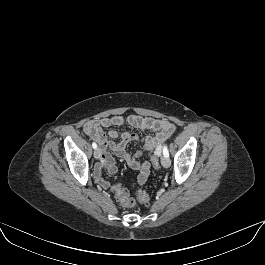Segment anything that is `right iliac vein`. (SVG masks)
Returning <instances> with one entry per match:
<instances>
[{
    "label": "right iliac vein",
    "instance_id": "obj_1",
    "mask_svg": "<svg viewBox=\"0 0 265 265\" xmlns=\"http://www.w3.org/2000/svg\"><path fill=\"white\" fill-rule=\"evenodd\" d=\"M100 156H101V150L99 148H96L94 150V157H95V159H99Z\"/></svg>",
    "mask_w": 265,
    "mask_h": 265
}]
</instances>
